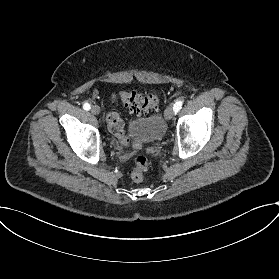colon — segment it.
<instances>
[{"label": "colon", "mask_w": 279, "mask_h": 279, "mask_svg": "<svg viewBox=\"0 0 279 279\" xmlns=\"http://www.w3.org/2000/svg\"><path fill=\"white\" fill-rule=\"evenodd\" d=\"M114 99L120 100L125 108L133 114H149L157 110L159 97L154 92L135 93L125 90H118L112 93ZM109 131L119 140L123 146L130 144L131 140L125 132L124 122L121 116L115 111H108L106 114ZM134 146L141 150L142 146L136 142ZM148 170V160L141 155L133 159V169L131 170L132 179L140 183L144 180Z\"/></svg>", "instance_id": "1"}]
</instances>
